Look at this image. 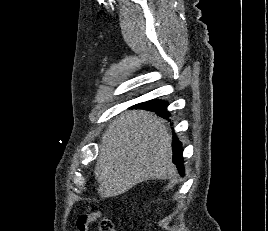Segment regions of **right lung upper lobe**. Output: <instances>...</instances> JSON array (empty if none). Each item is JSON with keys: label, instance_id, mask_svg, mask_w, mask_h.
Here are the masks:
<instances>
[{"label": "right lung upper lobe", "instance_id": "obj_1", "mask_svg": "<svg viewBox=\"0 0 268 231\" xmlns=\"http://www.w3.org/2000/svg\"><path fill=\"white\" fill-rule=\"evenodd\" d=\"M140 106H143L146 109L152 110V111H161L163 109H166L167 104L159 101H147L145 103L138 104Z\"/></svg>", "mask_w": 268, "mask_h": 231}]
</instances>
